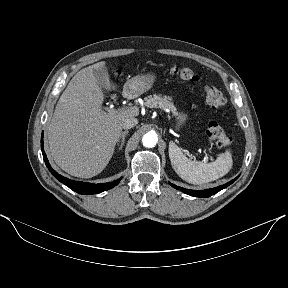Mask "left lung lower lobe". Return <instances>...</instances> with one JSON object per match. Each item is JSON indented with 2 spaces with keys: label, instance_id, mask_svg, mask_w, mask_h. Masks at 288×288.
<instances>
[{
  "label": "left lung lower lobe",
  "instance_id": "1",
  "mask_svg": "<svg viewBox=\"0 0 288 288\" xmlns=\"http://www.w3.org/2000/svg\"><path fill=\"white\" fill-rule=\"evenodd\" d=\"M238 177H236L235 179L231 180L230 182L215 187V188H210V189H205V190H189V189H185V188H181L179 186H176L174 184H171V186H173L174 188L181 190L182 192L191 195V196H195V197H210L211 195L216 194L217 192H219L220 190L226 188L227 186L231 185Z\"/></svg>",
  "mask_w": 288,
  "mask_h": 288
}]
</instances>
